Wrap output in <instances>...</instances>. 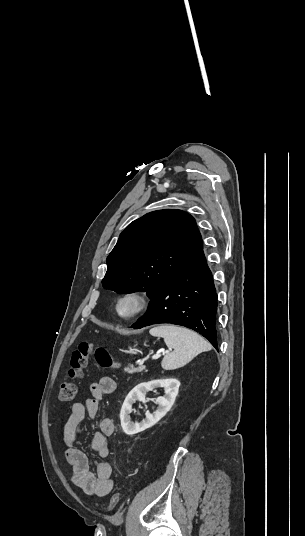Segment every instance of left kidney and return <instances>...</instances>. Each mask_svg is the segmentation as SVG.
Returning a JSON list of instances; mask_svg holds the SVG:
<instances>
[{
    "label": "left kidney",
    "instance_id": "left-kidney-1",
    "mask_svg": "<svg viewBox=\"0 0 305 536\" xmlns=\"http://www.w3.org/2000/svg\"><path fill=\"white\" fill-rule=\"evenodd\" d=\"M179 386L180 382L179 380H175V378L152 380V382H142V384L135 386V388L129 392L127 398H125L121 408L120 420L123 432L128 434V436H134V434L143 432V430H147V428H151V426L157 424V422L169 412L170 408H172L178 394ZM154 388H165L164 396H160V398H156L155 400L156 404H158L156 412H153V414L146 412L145 420H142L140 424H134V422H131L130 416L131 412H133V404H135L136 400L145 404V402H147V400H145L146 392H150V390H154Z\"/></svg>",
    "mask_w": 305,
    "mask_h": 536
}]
</instances>
